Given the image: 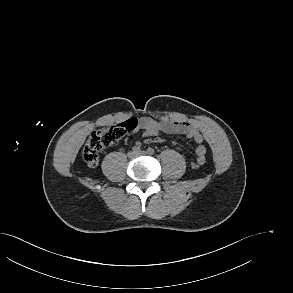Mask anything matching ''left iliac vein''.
<instances>
[{
  "instance_id": "obj_1",
  "label": "left iliac vein",
  "mask_w": 293,
  "mask_h": 293,
  "mask_svg": "<svg viewBox=\"0 0 293 293\" xmlns=\"http://www.w3.org/2000/svg\"><path fill=\"white\" fill-rule=\"evenodd\" d=\"M146 152L145 151H140L139 153H137V155H145Z\"/></svg>"
}]
</instances>
